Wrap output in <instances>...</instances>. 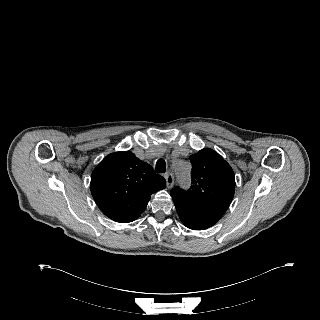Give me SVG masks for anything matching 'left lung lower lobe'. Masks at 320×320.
<instances>
[{"label": "left lung lower lobe", "mask_w": 320, "mask_h": 320, "mask_svg": "<svg viewBox=\"0 0 320 320\" xmlns=\"http://www.w3.org/2000/svg\"><path fill=\"white\" fill-rule=\"evenodd\" d=\"M182 223L193 230H204L213 226L223 215L208 211L179 200H173Z\"/></svg>", "instance_id": "obj_1"}]
</instances>
